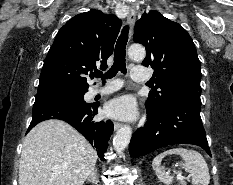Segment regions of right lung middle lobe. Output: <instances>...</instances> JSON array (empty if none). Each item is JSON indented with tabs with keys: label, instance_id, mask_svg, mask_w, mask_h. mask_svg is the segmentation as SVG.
Returning a JSON list of instances; mask_svg holds the SVG:
<instances>
[{
	"label": "right lung middle lobe",
	"instance_id": "dd1d6c3e",
	"mask_svg": "<svg viewBox=\"0 0 233 185\" xmlns=\"http://www.w3.org/2000/svg\"><path fill=\"white\" fill-rule=\"evenodd\" d=\"M88 89H46V90H38L37 97L40 96H60V97H69L78 100H84V94Z\"/></svg>",
	"mask_w": 233,
	"mask_h": 185
}]
</instances>
